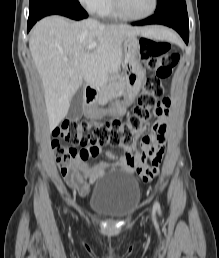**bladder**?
Here are the masks:
<instances>
[{"label": "bladder", "instance_id": "1", "mask_svg": "<svg viewBox=\"0 0 219 258\" xmlns=\"http://www.w3.org/2000/svg\"><path fill=\"white\" fill-rule=\"evenodd\" d=\"M100 179L91 192L88 207L106 218L129 217L137 208L141 198L138 179L122 170L111 171Z\"/></svg>", "mask_w": 219, "mask_h": 258}]
</instances>
